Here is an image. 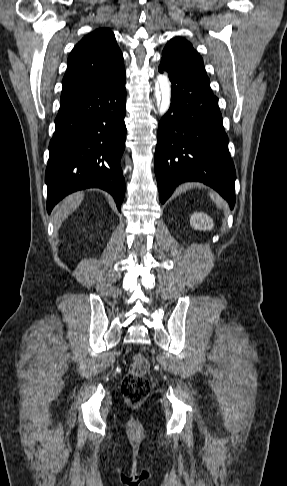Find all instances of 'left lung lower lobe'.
Here are the masks:
<instances>
[{
  "label": "left lung lower lobe",
  "instance_id": "obj_1",
  "mask_svg": "<svg viewBox=\"0 0 287 486\" xmlns=\"http://www.w3.org/2000/svg\"><path fill=\"white\" fill-rule=\"evenodd\" d=\"M159 71L171 81V104L159 123L155 174L164 203L175 187L200 181L235 204L236 172L228 150V137L210 84L165 58Z\"/></svg>",
  "mask_w": 287,
  "mask_h": 486
}]
</instances>
